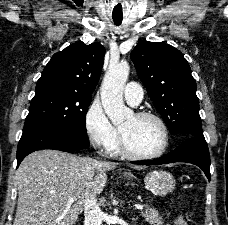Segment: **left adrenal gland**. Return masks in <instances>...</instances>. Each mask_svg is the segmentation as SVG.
Masks as SVG:
<instances>
[{"mask_svg": "<svg viewBox=\"0 0 228 225\" xmlns=\"http://www.w3.org/2000/svg\"><path fill=\"white\" fill-rule=\"evenodd\" d=\"M132 221H137V219H132Z\"/></svg>", "mask_w": 228, "mask_h": 225, "instance_id": "a2214340", "label": "left adrenal gland"}]
</instances>
